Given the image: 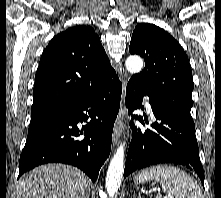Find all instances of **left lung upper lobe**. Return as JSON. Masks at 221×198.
Listing matches in <instances>:
<instances>
[{"instance_id":"obj_1","label":"left lung upper lobe","mask_w":221,"mask_h":198,"mask_svg":"<svg viewBox=\"0 0 221 198\" xmlns=\"http://www.w3.org/2000/svg\"><path fill=\"white\" fill-rule=\"evenodd\" d=\"M129 52L145 60L144 70L133 75L129 82L146 90L175 116L194 124L190 114L194 83L181 45L158 26L140 23L132 34Z\"/></svg>"}]
</instances>
